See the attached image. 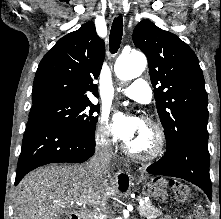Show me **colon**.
<instances>
[{
  "label": "colon",
  "mask_w": 221,
  "mask_h": 219,
  "mask_svg": "<svg viewBox=\"0 0 221 219\" xmlns=\"http://www.w3.org/2000/svg\"><path fill=\"white\" fill-rule=\"evenodd\" d=\"M176 195L180 201L185 199V187L183 185L176 186ZM188 219H207V216L203 211L196 210L189 215Z\"/></svg>",
  "instance_id": "5ec220e1"
}]
</instances>
